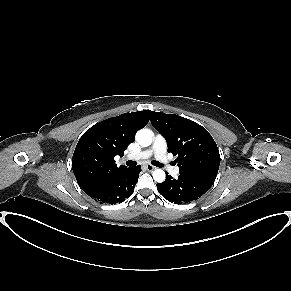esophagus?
Instances as JSON below:
<instances>
[{
	"label": "esophagus",
	"instance_id": "esophagus-1",
	"mask_svg": "<svg viewBox=\"0 0 291 291\" xmlns=\"http://www.w3.org/2000/svg\"><path fill=\"white\" fill-rule=\"evenodd\" d=\"M144 167H145L146 170H148V171H153L154 169H156V167H154V166H152V165H150V164H147V165H145Z\"/></svg>",
	"mask_w": 291,
	"mask_h": 291
}]
</instances>
